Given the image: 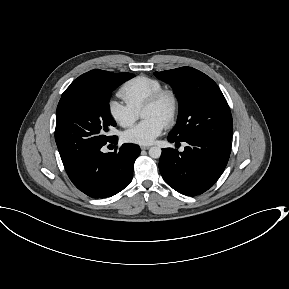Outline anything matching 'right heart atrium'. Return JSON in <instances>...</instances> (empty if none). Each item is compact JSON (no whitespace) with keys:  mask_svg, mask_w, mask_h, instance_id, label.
Here are the masks:
<instances>
[{"mask_svg":"<svg viewBox=\"0 0 289 289\" xmlns=\"http://www.w3.org/2000/svg\"><path fill=\"white\" fill-rule=\"evenodd\" d=\"M108 112L111 118L123 128L132 126L138 117L137 111L126 103L114 99L108 103Z\"/></svg>","mask_w":289,"mask_h":289,"instance_id":"right-heart-atrium-1","label":"right heart atrium"}]
</instances>
